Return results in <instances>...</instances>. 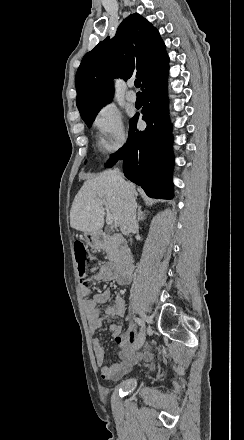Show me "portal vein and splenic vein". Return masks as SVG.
I'll return each instance as SVG.
<instances>
[{
	"mask_svg": "<svg viewBox=\"0 0 244 440\" xmlns=\"http://www.w3.org/2000/svg\"><path fill=\"white\" fill-rule=\"evenodd\" d=\"M102 202H104V204H105L106 200H102ZM105 208H106V206H105ZM113 222H114V218H113L112 214H110V212H108V210H107L106 224H108V226H111V224H113Z\"/></svg>",
	"mask_w": 244,
	"mask_h": 440,
	"instance_id": "18ae733b",
	"label": "portal vein and splenic vein"
}]
</instances>
